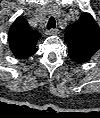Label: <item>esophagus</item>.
<instances>
[{
    "label": "esophagus",
    "mask_w": 100,
    "mask_h": 118,
    "mask_svg": "<svg viewBox=\"0 0 100 118\" xmlns=\"http://www.w3.org/2000/svg\"><path fill=\"white\" fill-rule=\"evenodd\" d=\"M59 33L58 29H49L45 31L46 35H57Z\"/></svg>",
    "instance_id": "obj_1"
}]
</instances>
